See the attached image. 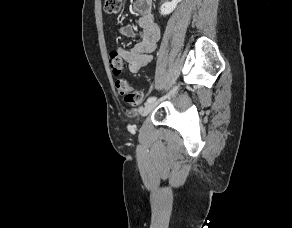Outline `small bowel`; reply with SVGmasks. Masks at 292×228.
Returning a JSON list of instances; mask_svg holds the SVG:
<instances>
[{"label":"small bowel","instance_id":"small-bowel-1","mask_svg":"<svg viewBox=\"0 0 292 228\" xmlns=\"http://www.w3.org/2000/svg\"><path fill=\"white\" fill-rule=\"evenodd\" d=\"M152 3L153 0H135L133 5L138 15V24L142 29L140 41L131 48H117L110 53L115 54L122 64L125 62L133 74L140 72L151 62L152 53L160 38V28L152 13ZM119 31L126 37L136 36V30L131 25L121 26Z\"/></svg>","mask_w":292,"mask_h":228}]
</instances>
